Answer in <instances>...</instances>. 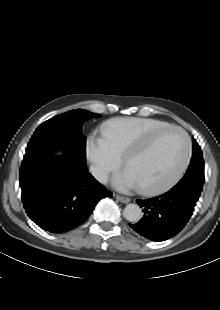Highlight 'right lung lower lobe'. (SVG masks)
<instances>
[{
  "instance_id": "1",
  "label": "right lung lower lobe",
  "mask_w": 220,
  "mask_h": 310,
  "mask_svg": "<svg viewBox=\"0 0 220 310\" xmlns=\"http://www.w3.org/2000/svg\"><path fill=\"white\" fill-rule=\"evenodd\" d=\"M62 158L45 152L23 159L19 183L27 215L40 228L64 233L83 224L100 199L112 192L86 167L85 155L66 148Z\"/></svg>"
}]
</instances>
